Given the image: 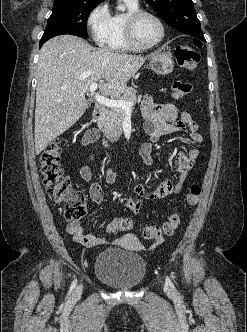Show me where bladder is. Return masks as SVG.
I'll list each match as a JSON object with an SVG mask.
<instances>
[{"label":"bladder","instance_id":"bladder-1","mask_svg":"<svg viewBox=\"0 0 247 332\" xmlns=\"http://www.w3.org/2000/svg\"><path fill=\"white\" fill-rule=\"evenodd\" d=\"M96 278L109 287L134 289L144 280L146 263L143 257L121 247L101 251L95 261Z\"/></svg>","mask_w":247,"mask_h":332}]
</instances>
